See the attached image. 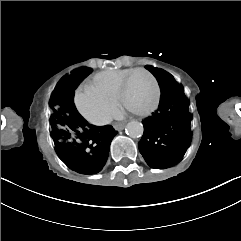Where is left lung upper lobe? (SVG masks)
Returning a JSON list of instances; mask_svg holds the SVG:
<instances>
[{
  "mask_svg": "<svg viewBox=\"0 0 241 241\" xmlns=\"http://www.w3.org/2000/svg\"><path fill=\"white\" fill-rule=\"evenodd\" d=\"M146 69H148L157 78L161 91L166 90L169 86L178 84L174 80L173 76L162 69L153 68L151 66H146Z\"/></svg>",
  "mask_w": 241,
  "mask_h": 241,
  "instance_id": "left-lung-upper-lobe-1",
  "label": "left lung upper lobe"
}]
</instances>
